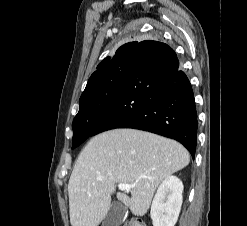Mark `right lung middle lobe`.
<instances>
[{
  "instance_id": "1",
  "label": "right lung middle lobe",
  "mask_w": 247,
  "mask_h": 226,
  "mask_svg": "<svg viewBox=\"0 0 247 226\" xmlns=\"http://www.w3.org/2000/svg\"><path fill=\"white\" fill-rule=\"evenodd\" d=\"M129 60L130 56L115 54L93 84L82 93L79 100V112L73 120L72 149L91 136L119 91Z\"/></svg>"
}]
</instances>
